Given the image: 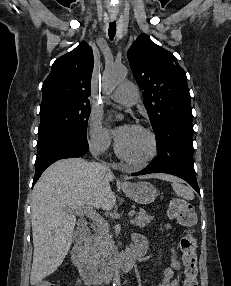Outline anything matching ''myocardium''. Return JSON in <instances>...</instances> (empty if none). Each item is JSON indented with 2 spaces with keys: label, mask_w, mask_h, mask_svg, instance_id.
<instances>
[{
  "label": "myocardium",
  "mask_w": 231,
  "mask_h": 286,
  "mask_svg": "<svg viewBox=\"0 0 231 286\" xmlns=\"http://www.w3.org/2000/svg\"><path fill=\"white\" fill-rule=\"evenodd\" d=\"M134 127L139 129L140 131H142L149 137L150 143H151V149H150L149 154L142 159L136 160V159L129 158L122 152L119 146V143L116 144L115 151H116L117 156L121 158L123 161H125L126 163L133 165V166L142 167L150 163L157 156L158 141H157V137L155 133L151 129L147 128L146 126L141 125V124H136L134 125Z\"/></svg>",
  "instance_id": "obj_1"
}]
</instances>
